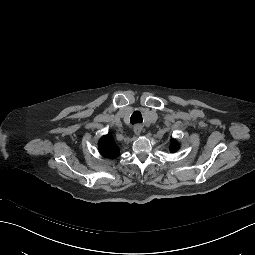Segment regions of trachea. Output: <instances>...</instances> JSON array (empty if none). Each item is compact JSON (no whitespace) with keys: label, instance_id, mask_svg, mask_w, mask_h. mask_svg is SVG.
Masks as SVG:
<instances>
[{"label":"trachea","instance_id":"obj_1","mask_svg":"<svg viewBox=\"0 0 255 255\" xmlns=\"http://www.w3.org/2000/svg\"><path fill=\"white\" fill-rule=\"evenodd\" d=\"M130 122L132 124L141 123L142 122V115H141L140 111H134L133 112V114L131 115V118H130Z\"/></svg>","mask_w":255,"mask_h":255}]
</instances>
